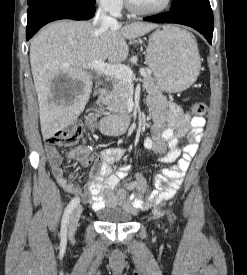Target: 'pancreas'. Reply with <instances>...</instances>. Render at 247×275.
<instances>
[{"label":"pancreas","mask_w":247,"mask_h":275,"mask_svg":"<svg viewBox=\"0 0 247 275\" xmlns=\"http://www.w3.org/2000/svg\"><path fill=\"white\" fill-rule=\"evenodd\" d=\"M143 88L149 93H160L155 79L151 73L144 76ZM132 83L123 79L112 80V90L103 99V104L111 113L127 115V100L131 94Z\"/></svg>","instance_id":"1"}]
</instances>
